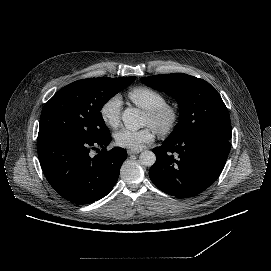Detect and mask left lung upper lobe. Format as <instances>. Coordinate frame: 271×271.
<instances>
[{"label": "left lung upper lobe", "mask_w": 271, "mask_h": 271, "mask_svg": "<svg viewBox=\"0 0 271 271\" xmlns=\"http://www.w3.org/2000/svg\"><path fill=\"white\" fill-rule=\"evenodd\" d=\"M141 81L169 94L179 104V122L167 139L203 129L231 130L229 112L222 98L205 80L173 73L142 77Z\"/></svg>", "instance_id": "obj_1"}]
</instances>
